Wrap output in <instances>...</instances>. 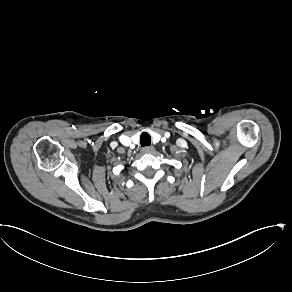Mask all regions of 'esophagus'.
Here are the masks:
<instances>
[{
    "label": "esophagus",
    "instance_id": "esophagus-1",
    "mask_svg": "<svg viewBox=\"0 0 292 292\" xmlns=\"http://www.w3.org/2000/svg\"><path fill=\"white\" fill-rule=\"evenodd\" d=\"M142 152L145 154H152L155 152L154 146H146L142 148Z\"/></svg>",
    "mask_w": 292,
    "mask_h": 292
}]
</instances>
